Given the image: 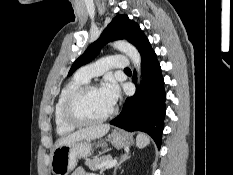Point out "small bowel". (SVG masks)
<instances>
[{
    "label": "small bowel",
    "instance_id": "c3829d8e",
    "mask_svg": "<svg viewBox=\"0 0 233 175\" xmlns=\"http://www.w3.org/2000/svg\"><path fill=\"white\" fill-rule=\"evenodd\" d=\"M71 175H98L95 173H88L86 172L84 169L82 168H77L73 171V173Z\"/></svg>",
    "mask_w": 233,
    "mask_h": 175
}]
</instances>
